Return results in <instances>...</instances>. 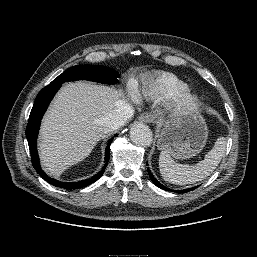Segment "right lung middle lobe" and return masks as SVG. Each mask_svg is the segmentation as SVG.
<instances>
[{"mask_svg":"<svg viewBox=\"0 0 257 257\" xmlns=\"http://www.w3.org/2000/svg\"><path fill=\"white\" fill-rule=\"evenodd\" d=\"M119 73L114 69L98 65H76L69 68L50 85L62 84L67 81L89 80L105 84H115L118 82Z\"/></svg>","mask_w":257,"mask_h":257,"instance_id":"right-lung-middle-lobe-1","label":"right lung middle lobe"}]
</instances>
